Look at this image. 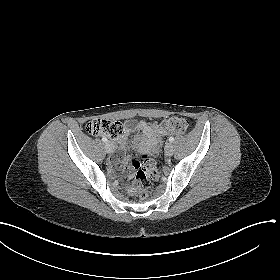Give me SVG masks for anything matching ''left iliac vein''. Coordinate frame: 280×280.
<instances>
[{"label":"left iliac vein","instance_id":"4c4485c4","mask_svg":"<svg viewBox=\"0 0 280 280\" xmlns=\"http://www.w3.org/2000/svg\"><path fill=\"white\" fill-rule=\"evenodd\" d=\"M174 152L172 143H167L165 146V153L167 156H172Z\"/></svg>","mask_w":280,"mask_h":280}]
</instances>
